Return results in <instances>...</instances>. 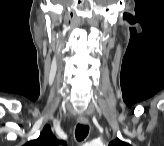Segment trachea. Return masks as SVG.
<instances>
[{
	"instance_id": "1",
	"label": "trachea",
	"mask_w": 164,
	"mask_h": 146,
	"mask_svg": "<svg viewBox=\"0 0 164 146\" xmlns=\"http://www.w3.org/2000/svg\"><path fill=\"white\" fill-rule=\"evenodd\" d=\"M89 133V127L87 125L78 124L75 130V137L77 141H83Z\"/></svg>"
}]
</instances>
